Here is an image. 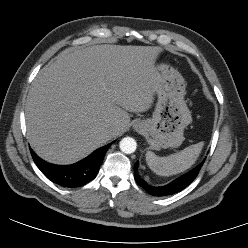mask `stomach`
<instances>
[{"label": "stomach", "instance_id": "obj_1", "mask_svg": "<svg viewBox=\"0 0 248 248\" xmlns=\"http://www.w3.org/2000/svg\"><path fill=\"white\" fill-rule=\"evenodd\" d=\"M156 73L155 111L152 118L139 121L135 129L149 137L153 149L178 147L184 141V129L192 122L184 100L186 84L182 75L169 64L157 65Z\"/></svg>", "mask_w": 248, "mask_h": 248}]
</instances>
